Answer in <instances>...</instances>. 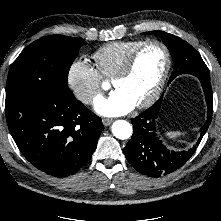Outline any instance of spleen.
Listing matches in <instances>:
<instances>
[{
  "label": "spleen",
  "mask_w": 221,
  "mask_h": 221,
  "mask_svg": "<svg viewBox=\"0 0 221 221\" xmlns=\"http://www.w3.org/2000/svg\"><path fill=\"white\" fill-rule=\"evenodd\" d=\"M184 133L180 132V131H170V132H166L165 136L168 139H176L178 138L180 135H183Z\"/></svg>",
  "instance_id": "spleen-1"
}]
</instances>
